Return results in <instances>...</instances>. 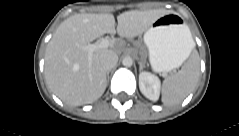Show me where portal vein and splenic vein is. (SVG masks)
<instances>
[{"label":"portal vein and splenic vein","instance_id":"18ae733b","mask_svg":"<svg viewBox=\"0 0 239 136\" xmlns=\"http://www.w3.org/2000/svg\"><path fill=\"white\" fill-rule=\"evenodd\" d=\"M111 42L108 39H102L99 42H96L94 44H87L86 46L83 47L84 50H86L88 52V58L91 61L92 59V54L94 51L98 50V49H104V48H108L110 46Z\"/></svg>","mask_w":239,"mask_h":136}]
</instances>
